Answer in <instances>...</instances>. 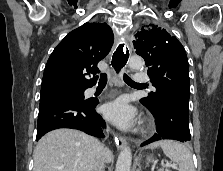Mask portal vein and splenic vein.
I'll return each instance as SVG.
<instances>
[{
    "label": "portal vein and splenic vein",
    "mask_w": 223,
    "mask_h": 171,
    "mask_svg": "<svg viewBox=\"0 0 223 171\" xmlns=\"http://www.w3.org/2000/svg\"><path fill=\"white\" fill-rule=\"evenodd\" d=\"M161 165H162L163 167H172V166H173V165H172L171 163H169V162H167L166 164L162 163ZM152 171H154V169H153Z\"/></svg>",
    "instance_id": "obj_1"
}]
</instances>
